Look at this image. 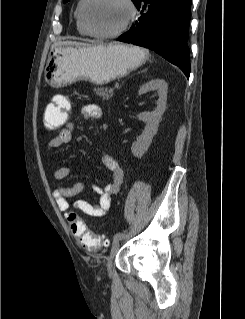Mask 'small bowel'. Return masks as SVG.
Listing matches in <instances>:
<instances>
[{
  "mask_svg": "<svg viewBox=\"0 0 245 319\" xmlns=\"http://www.w3.org/2000/svg\"><path fill=\"white\" fill-rule=\"evenodd\" d=\"M58 97L55 96L53 102L48 105L54 104ZM82 116L85 120H99L102 116L101 108L96 104H88L82 108ZM73 124L71 121H67L64 128H62L49 143L50 148L58 149L68 144L72 139ZM101 162L103 166L111 172L112 179L105 186H94V190L100 194L98 203H92L85 199H78L74 202L73 206L76 210L92 217H100L104 215L110 208L112 197L118 193L121 184L123 182V170L119 166L116 159L110 154H103L101 156ZM70 174V169L67 166H60L56 169L54 177L56 180L62 181L66 179ZM84 190V185L81 182H77L72 186L59 185L54 190V198L57 206L61 212H67L70 208L69 199L81 194Z\"/></svg>",
  "mask_w": 245,
  "mask_h": 319,
  "instance_id": "1",
  "label": "small bowel"
}]
</instances>
